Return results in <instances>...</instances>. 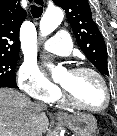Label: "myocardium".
Here are the masks:
<instances>
[{
	"label": "myocardium",
	"mask_w": 117,
	"mask_h": 136,
	"mask_svg": "<svg viewBox=\"0 0 117 136\" xmlns=\"http://www.w3.org/2000/svg\"><path fill=\"white\" fill-rule=\"evenodd\" d=\"M70 72H72V73L88 72V73L95 75L98 78V80L100 81V83L104 89L105 102L100 107H90V106L83 105V104L75 101L73 99V97L71 96V94L61 85V92H62L63 99L68 105H70L76 109L88 111V112H101V111H104L110 105V102H111L110 88H109L108 83L105 80L104 76L98 70H96L92 67H88V66H77V67L72 68L70 70Z\"/></svg>",
	"instance_id": "myocardium-1"
}]
</instances>
